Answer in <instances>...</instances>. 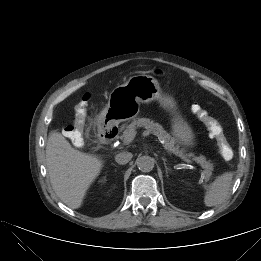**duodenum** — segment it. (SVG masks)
Masks as SVG:
<instances>
[{
    "label": "duodenum",
    "instance_id": "duodenum-1",
    "mask_svg": "<svg viewBox=\"0 0 261 261\" xmlns=\"http://www.w3.org/2000/svg\"><path fill=\"white\" fill-rule=\"evenodd\" d=\"M117 129L116 128H108L101 132V139L104 143L109 144L114 141L117 136Z\"/></svg>",
    "mask_w": 261,
    "mask_h": 261
}]
</instances>
